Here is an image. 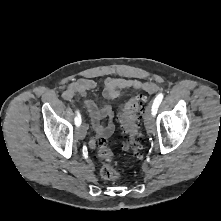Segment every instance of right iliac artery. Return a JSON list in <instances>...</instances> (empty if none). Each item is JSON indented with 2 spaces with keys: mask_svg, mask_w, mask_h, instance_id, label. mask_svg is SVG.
Instances as JSON below:
<instances>
[{
  "mask_svg": "<svg viewBox=\"0 0 221 221\" xmlns=\"http://www.w3.org/2000/svg\"><path fill=\"white\" fill-rule=\"evenodd\" d=\"M80 124H81V115H80L79 111H76L75 125L80 126Z\"/></svg>",
  "mask_w": 221,
  "mask_h": 221,
  "instance_id": "1",
  "label": "right iliac artery"
}]
</instances>
